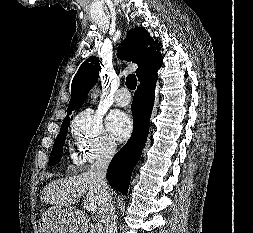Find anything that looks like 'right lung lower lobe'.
<instances>
[{
    "instance_id": "right-lung-lower-lobe-1",
    "label": "right lung lower lobe",
    "mask_w": 253,
    "mask_h": 233,
    "mask_svg": "<svg viewBox=\"0 0 253 233\" xmlns=\"http://www.w3.org/2000/svg\"><path fill=\"white\" fill-rule=\"evenodd\" d=\"M157 71L142 78L131 106L134 130L126 145L113 157L107 170L109 184L127 194L131 174L148 137L150 116L155 98Z\"/></svg>"
}]
</instances>
